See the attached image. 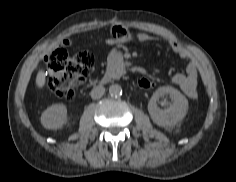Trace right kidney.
Returning a JSON list of instances; mask_svg holds the SVG:
<instances>
[{
    "label": "right kidney",
    "mask_w": 236,
    "mask_h": 182,
    "mask_svg": "<svg viewBox=\"0 0 236 182\" xmlns=\"http://www.w3.org/2000/svg\"><path fill=\"white\" fill-rule=\"evenodd\" d=\"M67 121V108L63 104L48 107L41 115V124L46 129H59Z\"/></svg>",
    "instance_id": "obj_1"
}]
</instances>
